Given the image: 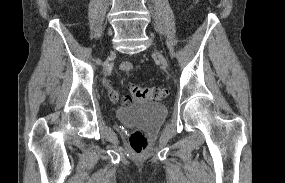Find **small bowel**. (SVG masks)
Instances as JSON below:
<instances>
[{
	"instance_id": "c3829d8e",
	"label": "small bowel",
	"mask_w": 285,
	"mask_h": 183,
	"mask_svg": "<svg viewBox=\"0 0 285 183\" xmlns=\"http://www.w3.org/2000/svg\"><path fill=\"white\" fill-rule=\"evenodd\" d=\"M105 85L109 91V95L113 96V99H111V100L114 102L118 101L120 99L119 92L116 89H114L108 81H105Z\"/></svg>"
}]
</instances>
